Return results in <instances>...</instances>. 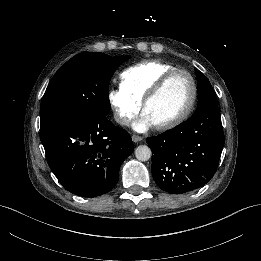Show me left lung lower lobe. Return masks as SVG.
Wrapping results in <instances>:
<instances>
[{
	"label": "left lung lower lobe",
	"mask_w": 261,
	"mask_h": 261,
	"mask_svg": "<svg viewBox=\"0 0 261 261\" xmlns=\"http://www.w3.org/2000/svg\"><path fill=\"white\" fill-rule=\"evenodd\" d=\"M146 141L155 151L151 170L162 190L181 194L199 189L214 176L224 146L218 105L197 109L184 123Z\"/></svg>",
	"instance_id": "0a47b994"
}]
</instances>
